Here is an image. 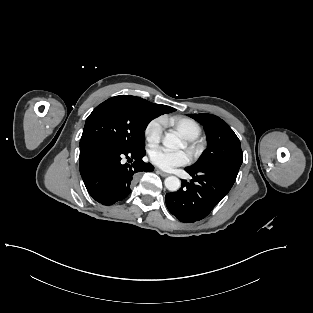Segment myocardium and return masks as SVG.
I'll use <instances>...</instances> for the list:
<instances>
[{"label": "myocardium", "mask_w": 313, "mask_h": 313, "mask_svg": "<svg viewBox=\"0 0 313 313\" xmlns=\"http://www.w3.org/2000/svg\"><path fill=\"white\" fill-rule=\"evenodd\" d=\"M186 146L193 158L199 157L204 151V143L199 139H186Z\"/></svg>", "instance_id": "myocardium-1"}]
</instances>
